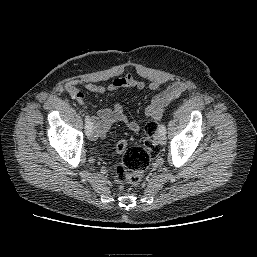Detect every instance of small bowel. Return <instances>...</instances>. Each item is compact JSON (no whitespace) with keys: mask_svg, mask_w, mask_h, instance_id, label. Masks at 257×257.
<instances>
[{"mask_svg":"<svg viewBox=\"0 0 257 257\" xmlns=\"http://www.w3.org/2000/svg\"><path fill=\"white\" fill-rule=\"evenodd\" d=\"M164 79L156 78L149 84V88L156 90L164 84ZM145 87V83L142 80L134 78L130 74L123 75L114 79L109 85L103 86L101 84L78 80L71 81L66 84L65 89L68 94L76 100L85 109V95L81 89H85L91 93L98 95H105L108 92L118 91L127 88H134L142 90ZM186 90V85L182 81L172 82L164 91L156 94L149 105L145 109V116L152 119H159L163 110L175 99H177ZM91 122L94 125V129L97 137L105 136L111 127L116 123L125 124L129 130L134 133L140 131L139 124L131 120L120 103H115L112 107L103 108L98 111L96 115L91 116Z\"/></svg>","mask_w":257,"mask_h":257,"instance_id":"small-bowel-1","label":"small bowel"}]
</instances>
